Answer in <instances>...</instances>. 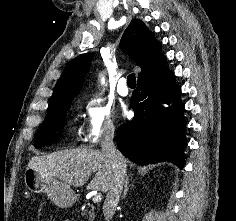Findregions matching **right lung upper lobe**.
<instances>
[{"instance_id":"1","label":"right lung upper lobe","mask_w":236,"mask_h":221,"mask_svg":"<svg viewBox=\"0 0 236 221\" xmlns=\"http://www.w3.org/2000/svg\"><path fill=\"white\" fill-rule=\"evenodd\" d=\"M120 46L141 67L138 79L152 73L164 62L160 52V42L138 19L130 22L122 36ZM92 59V54H82L66 65L54 88L48 111L74 99L84 83Z\"/></svg>"}]
</instances>
